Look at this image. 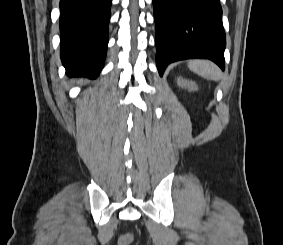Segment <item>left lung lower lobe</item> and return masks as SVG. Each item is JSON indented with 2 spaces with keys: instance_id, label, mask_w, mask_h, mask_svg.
Segmentation results:
<instances>
[{
  "instance_id": "obj_1",
  "label": "left lung lower lobe",
  "mask_w": 283,
  "mask_h": 245,
  "mask_svg": "<svg viewBox=\"0 0 283 245\" xmlns=\"http://www.w3.org/2000/svg\"><path fill=\"white\" fill-rule=\"evenodd\" d=\"M152 1L160 76L168 64L188 58H207L225 69L226 39L219 0Z\"/></svg>"
}]
</instances>
